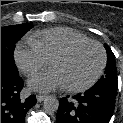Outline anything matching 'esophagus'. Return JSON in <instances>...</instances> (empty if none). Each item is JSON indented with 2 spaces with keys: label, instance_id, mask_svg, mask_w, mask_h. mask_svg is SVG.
<instances>
[{
  "label": "esophagus",
  "instance_id": "1",
  "mask_svg": "<svg viewBox=\"0 0 123 123\" xmlns=\"http://www.w3.org/2000/svg\"><path fill=\"white\" fill-rule=\"evenodd\" d=\"M45 97H46L45 95H40V94L36 96L38 102H42L45 99Z\"/></svg>",
  "mask_w": 123,
  "mask_h": 123
}]
</instances>
